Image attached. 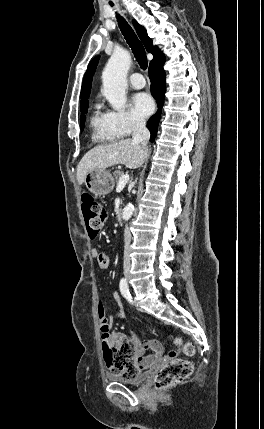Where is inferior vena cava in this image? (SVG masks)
<instances>
[{
  "instance_id": "obj_1",
  "label": "inferior vena cava",
  "mask_w": 264,
  "mask_h": 429,
  "mask_svg": "<svg viewBox=\"0 0 264 429\" xmlns=\"http://www.w3.org/2000/svg\"><path fill=\"white\" fill-rule=\"evenodd\" d=\"M133 142L134 143H140L143 148H147L148 140L150 138V132L146 128V122L143 118L137 117L134 120L133 125ZM128 223L125 224L124 233H125V244H123V249L125 251L124 254V271H129L131 264H130V241H131V233H130V227H131V220L129 219L127 221Z\"/></svg>"
}]
</instances>
